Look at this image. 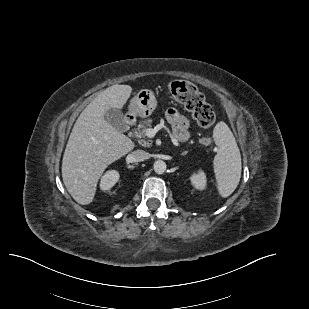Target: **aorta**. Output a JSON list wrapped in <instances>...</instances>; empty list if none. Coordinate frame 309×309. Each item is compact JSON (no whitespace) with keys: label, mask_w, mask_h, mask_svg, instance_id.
<instances>
[{"label":"aorta","mask_w":309,"mask_h":309,"mask_svg":"<svg viewBox=\"0 0 309 309\" xmlns=\"http://www.w3.org/2000/svg\"><path fill=\"white\" fill-rule=\"evenodd\" d=\"M153 168L157 174H163L166 171V163L162 160H157L155 161Z\"/></svg>","instance_id":"obj_1"}]
</instances>
